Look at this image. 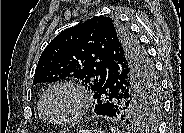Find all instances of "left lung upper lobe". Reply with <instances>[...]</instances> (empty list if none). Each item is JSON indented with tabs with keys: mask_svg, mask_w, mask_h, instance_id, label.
Returning a JSON list of instances; mask_svg holds the SVG:
<instances>
[{
	"mask_svg": "<svg viewBox=\"0 0 184 133\" xmlns=\"http://www.w3.org/2000/svg\"><path fill=\"white\" fill-rule=\"evenodd\" d=\"M115 58L128 81L117 118L133 125L154 120L160 110V88L153 63L117 18L93 17L58 34L42 52L33 84L75 77L95 94L106 81L107 64ZM143 81L152 86L151 94Z\"/></svg>",
	"mask_w": 184,
	"mask_h": 133,
	"instance_id": "1",
	"label": "left lung upper lobe"
}]
</instances>
